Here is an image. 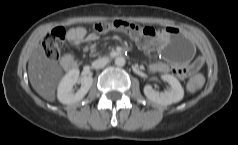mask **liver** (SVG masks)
I'll return each instance as SVG.
<instances>
[{
    "mask_svg": "<svg viewBox=\"0 0 238 145\" xmlns=\"http://www.w3.org/2000/svg\"><path fill=\"white\" fill-rule=\"evenodd\" d=\"M62 74V66L46 56L41 44L35 45L28 63V76L33 89L45 100L54 102Z\"/></svg>",
    "mask_w": 238,
    "mask_h": 145,
    "instance_id": "liver-1",
    "label": "liver"
}]
</instances>
